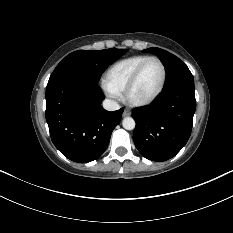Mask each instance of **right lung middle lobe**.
<instances>
[{"instance_id": "1", "label": "right lung middle lobe", "mask_w": 233, "mask_h": 233, "mask_svg": "<svg viewBox=\"0 0 233 233\" xmlns=\"http://www.w3.org/2000/svg\"><path fill=\"white\" fill-rule=\"evenodd\" d=\"M128 50H79L67 55L55 68L49 82L59 78H75L98 83L101 74Z\"/></svg>"}]
</instances>
